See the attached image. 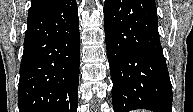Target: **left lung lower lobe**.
Segmentation results:
<instances>
[{"label": "left lung lower lobe", "instance_id": "1", "mask_svg": "<svg viewBox=\"0 0 193 112\" xmlns=\"http://www.w3.org/2000/svg\"><path fill=\"white\" fill-rule=\"evenodd\" d=\"M104 26L114 112H172L155 1L105 0Z\"/></svg>", "mask_w": 193, "mask_h": 112}]
</instances>
